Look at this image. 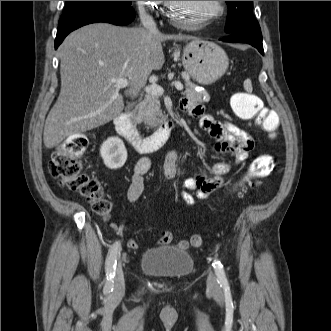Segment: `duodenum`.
Listing matches in <instances>:
<instances>
[{"label":"duodenum","instance_id":"duodenum-1","mask_svg":"<svg viewBox=\"0 0 331 331\" xmlns=\"http://www.w3.org/2000/svg\"><path fill=\"white\" fill-rule=\"evenodd\" d=\"M114 124L117 133L125 139L136 152L146 153L156 151L166 143L175 125V121L173 117L166 119L153 134L147 137H142L139 134L128 111L118 114L114 119Z\"/></svg>","mask_w":331,"mask_h":331}]
</instances>
